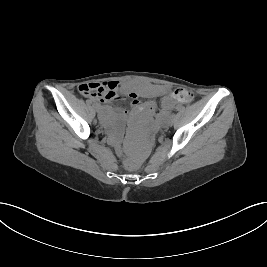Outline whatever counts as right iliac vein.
Instances as JSON below:
<instances>
[{
  "label": "right iliac vein",
  "mask_w": 267,
  "mask_h": 267,
  "mask_svg": "<svg viewBox=\"0 0 267 267\" xmlns=\"http://www.w3.org/2000/svg\"><path fill=\"white\" fill-rule=\"evenodd\" d=\"M95 110H96V112H99V107L98 106L95 107Z\"/></svg>",
  "instance_id": "63e3f726"
}]
</instances>
